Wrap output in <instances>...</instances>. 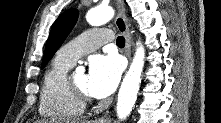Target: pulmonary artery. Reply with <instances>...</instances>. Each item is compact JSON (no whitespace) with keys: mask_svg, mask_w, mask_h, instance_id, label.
Returning <instances> with one entry per match:
<instances>
[{"mask_svg":"<svg viewBox=\"0 0 221 123\" xmlns=\"http://www.w3.org/2000/svg\"><path fill=\"white\" fill-rule=\"evenodd\" d=\"M111 40V32L107 29L88 30L63 46L58 51L57 56L71 64H75L79 57L96 50Z\"/></svg>","mask_w":221,"mask_h":123,"instance_id":"1","label":"pulmonary artery"}]
</instances>
